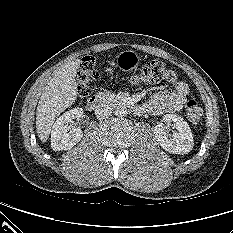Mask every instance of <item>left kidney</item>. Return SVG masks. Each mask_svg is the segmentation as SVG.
<instances>
[{
	"label": "left kidney",
	"instance_id": "1",
	"mask_svg": "<svg viewBox=\"0 0 233 233\" xmlns=\"http://www.w3.org/2000/svg\"><path fill=\"white\" fill-rule=\"evenodd\" d=\"M163 122L176 131L169 134L165 126L160 123L154 128L155 139L165 150L173 154H187L193 148V136L188 123L175 114H165Z\"/></svg>",
	"mask_w": 233,
	"mask_h": 233
}]
</instances>
